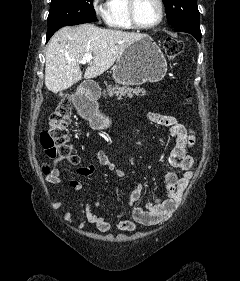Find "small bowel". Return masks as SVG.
<instances>
[{
  "label": "small bowel",
  "mask_w": 240,
  "mask_h": 281,
  "mask_svg": "<svg viewBox=\"0 0 240 281\" xmlns=\"http://www.w3.org/2000/svg\"><path fill=\"white\" fill-rule=\"evenodd\" d=\"M148 118L154 124L169 128L170 135L175 139V146L169 155V164L172 168L183 172L181 177L171 170L165 171L164 181L166 186L165 198L148 199L143 206L135 205L141 201L142 184L135 183L132 191L129 194L128 207L116 215L118 222L115 225V230L119 232H132L137 225H156L166 221L179 206L182 194L187 188L194 170V160L187 153L188 149L195 144V135L193 130L178 122L174 117L157 112H149ZM95 157L97 162L108 168L116 176L123 177L124 172L117 167L104 151H96ZM63 158L56 159L51 171L46 174L45 179L48 183L54 185H62L66 190L77 193L81 190V182L76 178L64 180L61 172L55 167L56 163ZM96 166L93 163L83 165L75 170V173L81 177H89L95 172ZM54 209H62L64 211V220L70 222L73 214L67 204L63 201L52 203ZM99 209L100 203L95 202L92 206L89 202L82 201L80 203V223L79 228H82L85 223L92 224L93 230L108 233L112 230L111 219L103 216L95 211ZM130 216V218H127Z\"/></svg>",
  "instance_id": "c3829d8e"
}]
</instances>
